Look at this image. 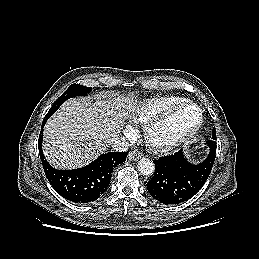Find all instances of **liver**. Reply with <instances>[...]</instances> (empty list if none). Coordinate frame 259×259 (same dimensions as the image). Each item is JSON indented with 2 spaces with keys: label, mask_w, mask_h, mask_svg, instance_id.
Here are the masks:
<instances>
[{
  "label": "liver",
  "mask_w": 259,
  "mask_h": 259,
  "mask_svg": "<svg viewBox=\"0 0 259 259\" xmlns=\"http://www.w3.org/2000/svg\"><path fill=\"white\" fill-rule=\"evenodd\" d=\"M136 108L133 99L116 95L66 101L44 128L47 161L58 169L89 164L118 138L123 118Z\"/></svg>",
  "instance_id": "6515ba94"
}]
</instances>
